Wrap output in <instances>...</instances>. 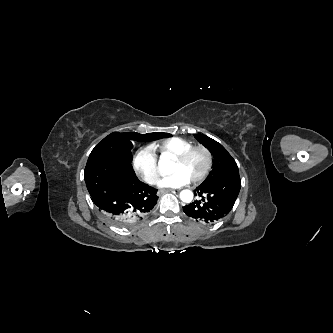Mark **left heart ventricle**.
Here are the masks:
<instances>
[{
    "label": "left heart ventricle",
    "instance_id": "1",
    "mask_svg": "<svg viewBox=\"0 0 333 333\" xmlns=\"http://www.w3.org/2000/svg\"><path fill=\"white\" fill-rule=\"evenodd\" d=\"M206 165V156L201 151L193 152L185 162L179 163L174 161L172 172L181 171L186 174L190 180L199 176L204 170Z\"/></svg>",
    "mask_w": 333,
    "mask_h": 333
}]
</instances>
